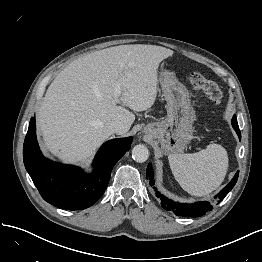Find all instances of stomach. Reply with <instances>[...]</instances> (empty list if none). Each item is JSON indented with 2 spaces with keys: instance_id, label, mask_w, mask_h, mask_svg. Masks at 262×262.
<instances>
[{
  "instance_id": "obj_1",
  "label": "stomach",
  "mask_w": 262,
  "mask_h": 262,
  "mask_svg": "<svg viewBox=\"0 0 262 262\" xmlns=\"http://www.w3.org/2000/svg\"><path fill=\"white\" fill-rule=\"evenodd\" d=\"M159 83L167 102V116L160 122L147 124L143 131L158 140L165 154L180 153L193 138L195 111L188 90L173 72L162 70Z\"/></svg>"
}]
</instances>
